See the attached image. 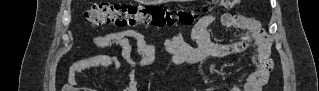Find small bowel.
Returning a JSON list of instances; mask_svg holds the SVG:
<instances>
[{
  "instance_id": "1",
  "label": "small bowel",
  "mask_w": 319,
  "mask_h": 91,
  "mask_svg": "<svg viewBox=\"0 0 319 91\" xmlns=\"http://www.w3.org/2000/svg\"><path fill=\"white\" fill-rule=\"evenodd\" d=\"M215 21L213 15L203 16L198 20L190 33V42H187L183 32L178 31L165 40V51L159 54L148 42L146 37L135 30L110 32L99 36L95 40L97 48L117 45L122 52V58L130 66L123 91H137L135 69L141 65H148L159 58H164L175 66L197 64L199 75L205 83L213 82V77L208 68V60L224 58L245 52L249 47H254L252 55L253 70L246 76L243 88L235 85L231 91H260L267 82L269 70L263 67L258 59L261 52L269 45V38L264 34L260 24L252 19L238 14H223L221 22L227 29L242 31L240 38L233 42L212 41L209 28ZM131 40L138 44L139 60L132 56ZM122 61L116 56L96 55L75 62L71 69L70 82L75 84L79 74L84 70L93 68L118 69Z\"/></svg>"
}]
</instances>
